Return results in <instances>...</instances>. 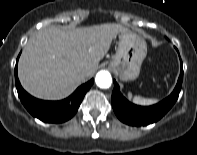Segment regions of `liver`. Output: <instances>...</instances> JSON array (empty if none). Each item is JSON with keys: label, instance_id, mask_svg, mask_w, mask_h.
<instances>
[{"label": "liver", "instance_id": "obj_1", "mask_svg": "<svg viewBox=\"0 0 197 155\" xmlns=\"http://www.w3.org/2000/svg\"><path fill=\"white\" fill-rule=\"evenodd\" d=\"M122 32L128 29L119 24L72 31L55 26L40 30L30 37L19 59L18 76L23 88L40 99L67 97L94 74L113 38Z\"/></svg>", "mask_w": 197, "mask_h": 155}]
</instances>
